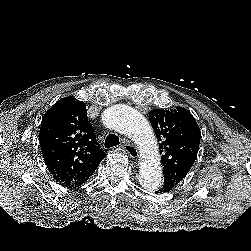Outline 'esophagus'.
<instances>
[{
    "instance_id": "34e87169",
    "label": "esophagus",
    "mask_w": 251,
    "mask_h": 251,
    "mask_svg": "<svg viewBox=\"0 0 251 251\" xmlns=\"http://www.w3.org/2000/svg\"><path fill=\"white\" fill-rule=\"evenodd\" d=\"M123 143H124V148L126 152L128 153L129 157L132 159H137L139 157V154L136 147L130 142H126L125 140H123Z\"/></svg>"
}]
</instances>
